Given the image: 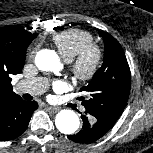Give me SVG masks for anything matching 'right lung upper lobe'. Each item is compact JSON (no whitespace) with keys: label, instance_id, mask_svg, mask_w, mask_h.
Returning <instances> with one entry per match:
<instances>
[{"label":"right lung upper lobe","instance_id":"cb5924a9","mask_svg":"<svg viewBox=\"0 0 153 153\" xmlns=\"http://www.w3.org/2000/svg\"><path fill=\"white\" fill-rule=\"evenodd\" d=\"M37 35L14 26L0 29V106L19 97L13 92L11 77L21 73L26 49Z\"/></svg>","mask_w":153,"mask_h":153}]
</instances>
